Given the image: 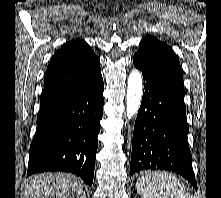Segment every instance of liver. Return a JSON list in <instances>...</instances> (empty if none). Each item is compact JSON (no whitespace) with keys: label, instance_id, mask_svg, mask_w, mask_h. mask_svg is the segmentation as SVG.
Instances as JSON below:
<instances>
[{"label":"liver","instance_id":"1","mask_svg":"<svg viewBox=\"0 0 221 198\" xmlns=\"http://www.w3.org/2000/svg\"><path fill=\"white\" fill-rule=\"evenodd\" d=\"M25 198H84L82 181L68 173H41L25 186Z\"/></svg>","mask_w":221,"mask_h":198}]
</instances>
